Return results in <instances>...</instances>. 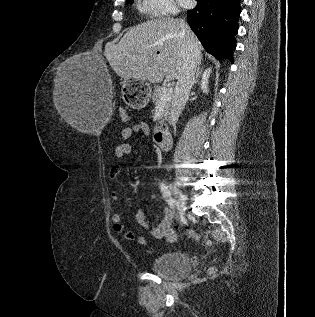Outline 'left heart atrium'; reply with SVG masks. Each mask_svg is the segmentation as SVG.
I'll list each match as a JSON object with an SVG mask.
<instances>
[{"mask_svg":"<svg viewBox=\"0 0 315 317\" xmlns=\"http://www.w3.org/2000/svg\"><path fill=\"white\" fill-rule=\"evenodd\" d=\"M178 1L182 6H188L191 3L190 0H178Z\"/></svg>","mask_w":315,"mask_h":317,"instance_id":"obj_1","label":"left heart atrium"}]
</instances>
